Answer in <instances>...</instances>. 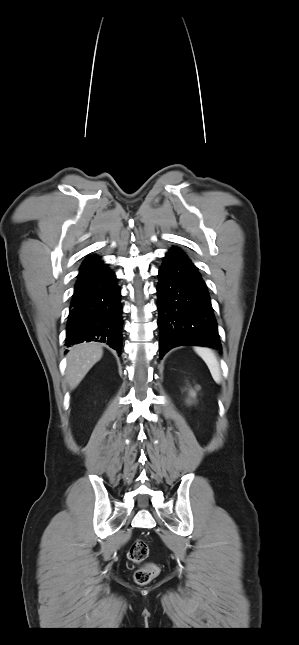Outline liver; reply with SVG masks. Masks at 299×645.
I'll return each instance as SVG.
<instances>
[{"label": "liver", "mask_w": 299, "mask_h": 645, "mask_svg": "<svg viewBox=\"0 0 299 645\" xmlns=\"http://www.w3.org/2000/svg\"><path fill=\"white\" fill-rule=\"evenodd\" d=\"M102 347L97 343H83L72 347L67 354V382L75 389L89 370L102 358Z\"/></svg>", "instance_id": "6515ba94"}]
</instances>
